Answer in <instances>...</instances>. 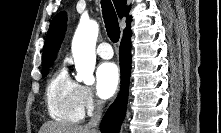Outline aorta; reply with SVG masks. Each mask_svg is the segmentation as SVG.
Here are the masks:
<instances>
[{
    "label": "aorta",
    "mask_w": 221,
    "mask_h": 133,
    "mask_svg": "<svg viewBox=\"0 0 221 133\" xmlns=\"http://www.w3.org/2000/svg\"><path fill=\"white\" fill-rule=\"evenodd\" d=\"M99 26L94 20H81L72 41V54L75 62L76 80L92 85L96 63L95 46Z\"/></svg>",
    "instance_id": "aorta-1"
}]
</instances>
